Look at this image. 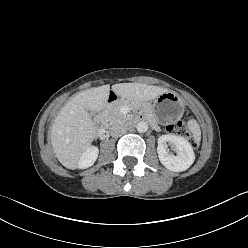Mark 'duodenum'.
<instances>
[{
	"label": "duodenum",
	"mask_w": 248,
	"mask_h": 248,
	"mask_svg": "<svg viewBox=\"0 0 248 248\" xmlns=\"http://www.w3.org/2000/svg\"><path fill=\"white\" fill-rule=\"evenodd\" d=\"M118 95L115 91H110L105 103V106H108L114 102H116L118 100ZM95 126L97 127V129L101 132L104 131V126H105V121H104V117L103 115H98L95 119Z\"/></svg>",
	"instance_id": "410a0bca"
}]
</instances>
